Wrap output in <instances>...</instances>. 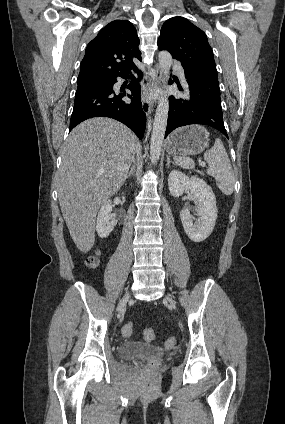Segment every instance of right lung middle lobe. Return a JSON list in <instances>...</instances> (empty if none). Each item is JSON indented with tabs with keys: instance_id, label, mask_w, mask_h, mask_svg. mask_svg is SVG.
Segmentation results:
<instances>
[{
	"instance_id": "1",
	"label": "right lung middle lobe",
	"mask_w": 285,
	"mask_h": 424,
	"mask_svg": "<svg viewBox=\"0 0 285 424\" xmlns=\"http://www.w3.org/2000/svg\"><path fill=\"white\" fill-rule=\"evenodd\" d=\"M98 83H101V82H98ZM91 84H95V83H91ZM85 85H89V84H85ZM78 86H83V85H78Z\"/></svg>"
}]
</instances>
